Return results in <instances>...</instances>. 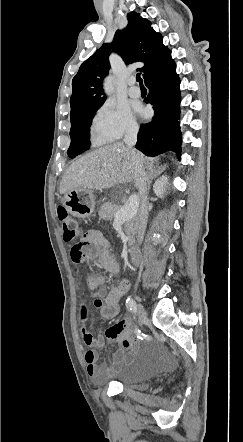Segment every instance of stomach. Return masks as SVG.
Here are the masks:
<instances>
[{
  "mask_svg": "<svg viewBox=\"0 0 243 442\" xmlns=\"http://www.w3.org/2000/svg\"><path fill=\"white\" fill-rule=\"evenodd\" d=\"M67 212L78 218H88L94 212L95 200L91 190H71L63 197Z\"/></svg>",
  "mask_w": 243,
  "mask_h": 442,
  "instance_id": "obj_1",
  "label": "stomach"
}]
</instances>
